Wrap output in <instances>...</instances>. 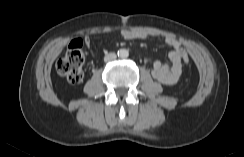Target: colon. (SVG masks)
Masks as SVG:
<instances>
[{"mask_svg": "<svg viewBox=\"0 0 244 157\" xmlns=\"http://www.w3.org/2000/svg\"><path fill=\"white\" fill-rule=\"evenodd\" d=\"M185 64H189L190 57L185 52L182 56ZM85 56L82 51V41L75 40L69 46L65 55L57 62V71L71 83H79L83 79V64Z\"/></svg>", "mask_w": 244, "mask_h": 157, "instance_id": "1", "label": "colon"}]
</instances>
